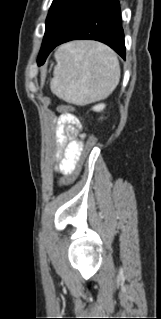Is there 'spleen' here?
<instances>
[{
  "label": "spleen",
  "mask_w": 161,
  "mask_h": 319,
  "mask_svg": "<svg viewBox=\"0 0 161 319\" xmlns=\"http://www.w3.org/2000/svg\"><path fill=\"white\" fill-rule=\"evenodd\" d=\"M55 58L51 90L68 103L83 106L105 99L119 83L117 56L101 43L70 42L58 48Z\"/></svg>",
  "instance_id": "1"
}]
</instances>
